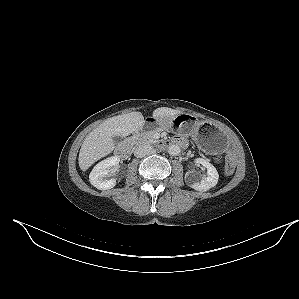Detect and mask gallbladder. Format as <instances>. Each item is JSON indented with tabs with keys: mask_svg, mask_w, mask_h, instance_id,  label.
<instances>
[{
	"mask_svg": "<svg viewBox=\"0 0 299 299\" xmlns=\"http://www.w3.org/2000/svg\"><path fill=\"white\" fill-rule=\"evenodd\" d=\"M112 138H113L114 143H116V144L120 143L123 140V137H121V136H113Z\"/></svg>",
	"mask_w": 299,
	"mask_h": 299,
	"instance_id": "1",
	"label": "gallbladder"
}]
</instances>
